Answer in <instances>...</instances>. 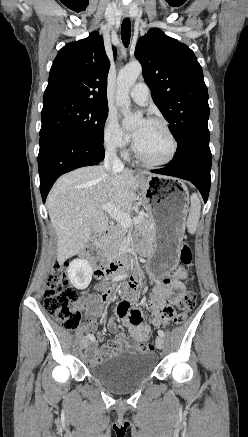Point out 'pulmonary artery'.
Wrapping results in <instances>:
<instances>
[{"instance_id":"e3ab8cb5","label":"pulmonary artery","mask_w":248,"mask_h":437,"mask_svg":"<svg viewBox=\"0 0 248 437\" xmlns=\"http://www.w3.org/2000/svg\"><path fill=\"white\" fill-rule=\"evenodd\" d=\"M129 94L136 103L145 105L149 100L150 90L145 83L139 82L131 88Z\"/></svg>"}]
</instances>
